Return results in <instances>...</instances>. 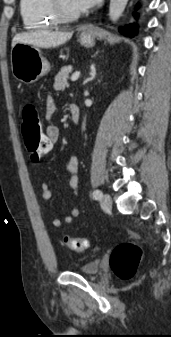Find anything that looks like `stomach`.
<instances>
[{"mask_svg": "<svg viewBox=\"0 0 171 337\" xmlns=\"http://www.w3.org/2000/svg\"><path fill=\"white\" fill-rule=\"evenodd\" d=\"M80 42L86 47H92L94 38L91 34L83 33ZM11 68L18 81L31 84L50 71V64L37 47L17 43L11 51Z\"/></svg>", "mask_w": 171, "mask_h": 337, "instance_id": "stomach-1", "label": "stomach"}]
</instances>
